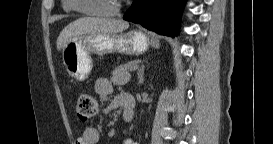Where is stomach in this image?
Listing matches in <instances>:
<instances>
[{
    "label": "stomach",
    "mask_w": 273,
    "mask_h": 144,
    "mask_svg": "<svg viewBox=\"0 0 273 144\" xmlns=\"http://www.w3.org/2000/svg\"><path fill=\"white\" fill-rule=\"evenodd\" d=\"M158 43L142 31L110 34L92 32L71 39L63 48V64L68 74L77 81H84L90 74L93 63L92 54L120 52L140 55Z\"/></svg>",
    "instance_id": "0dacf381"
}]
</instances>
